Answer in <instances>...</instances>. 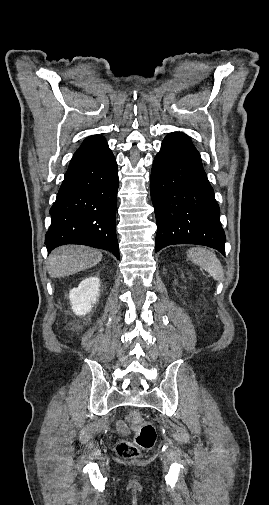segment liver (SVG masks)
Masks as SVG:
<instances>
[{"instance_id":"1","label":"liver","mask_w":269,"mask_h":505,"mask_svg":"<svg viewBox=\"0 0 269 505\" xmlns=\"http://www.w3.org/2000/svg\"><path fill=\"white\" fill-rule=\"evenodd\" d=\"M102 253L80 245H65L55 249L48 258V273L53 278L68 276L98 264Z\"/></svg>"}]
</instances>
